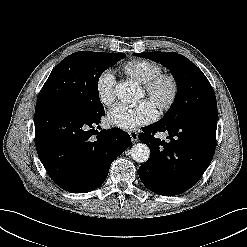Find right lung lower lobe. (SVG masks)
Returning <instances> with one entry per match:
<instances>
[{
    "mask_svg": "<svg viewBox=\"0 0 247 247\" xmlns=\"http://www.w3.org/2000/svg\"><path fill=\"white\" fill-rule=\"evenodd\" d=\"M103 114L85 115L55 100L37 102V153L60 188L73 193L97 189L106 180L112 161L130 146L129 134L118 128L97 132L95 141L91 138Z\"/></svg>",
    "mask_w": 247,
    "mask_h": 247,
    "instance_id": "98d812e1",
    "label": "right lung lower lobe"
}]
</instances>
